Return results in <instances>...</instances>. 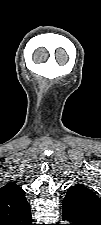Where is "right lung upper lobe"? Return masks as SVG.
<instances>
[{
    "instance_id": "cb5924a9",
    "label": "right lung upper lobe",
    "mask_w": 101,
    "mask_h": 225,
    "mask_svg": "<svg viewBox=\"0 0 101 225\" xmlns=\"http://www.w3.org/2000/svg\"><path fill=\"white\" fill-rule=\"evenodd\" d=\"M32 222L25 192L11 182L0 188V225H29Z\"/></svg>"
}]
</instances>
